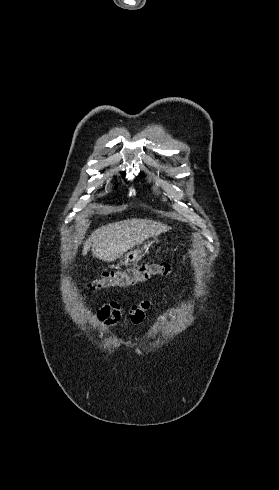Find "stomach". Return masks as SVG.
<instances>
[{"instance_id": "obj_1", "label": "stomach", "mask_w": 279, "mask_h": 490, "mask_svg": "<svg viewBox=\"0 0 279 490\" xmlns=\"http://www.w3.org/2000/svg\"><path fill=\"white\" fill-rule=\"evenodd\" d=\"M149 248V244H146L141 250H131V252H127L125 256H122L120 266H133V264H137L138 260H141L143 254H148Z\"/></svg>"}]
</instances>
